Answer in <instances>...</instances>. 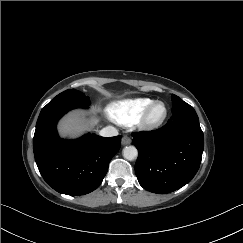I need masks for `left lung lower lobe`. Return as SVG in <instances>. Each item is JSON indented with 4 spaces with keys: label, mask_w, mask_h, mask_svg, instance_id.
I'll use <instances>...</instances> for the list:
<instances>
[{
    "label": "left lung lower lobe",
    "mask_w": 243,
    "mask_h": 243,
    "mask_svg": "<svg viewBox=\"0 0 243 243\" xmlns=\"http://www.w3.org/2000/svg\"><path fill=\"white\" fill-rule=\"evenodd\" d=\"M138 149L135 173L140 185L153 193L175 191L197 173L204 148L198 118H171L162 128L134 132Z\"/></svg>",
    "instance_id": "0a47b994"
}]
</instances>
